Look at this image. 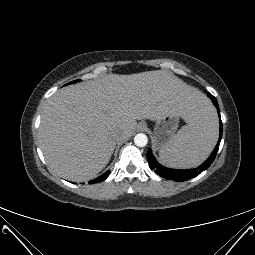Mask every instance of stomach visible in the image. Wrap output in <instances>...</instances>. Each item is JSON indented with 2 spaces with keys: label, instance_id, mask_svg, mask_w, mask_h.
<instances>
[{
  "label": "stomach",
  "instance_id": "1",
  "mask_svg": "<svg viewBox=\"0 0 255 255\" xmlns=\"http://www.w3.org/2000/svg\"><path fill=\"white\" fill-rule=\"evenodd\" d=\"M179 120L180 116L174 113L166 114L156 120L153 132V141L156 148L164 146L174 136Z\"/></svg>",
  "mask_w": 255,
  "mask_h": 255
}]
</instances>
